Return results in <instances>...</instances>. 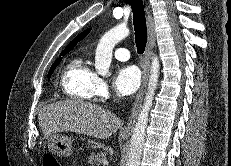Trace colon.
Listing matches in <instances>:
<instances>
[{"label": "colon", "instance_id": "1", "mask_svg": "<svg viewBox=\"0 0 231 166\" xmlns=\"http://www.w3.org/2000/svg\"><path fill=\"white\" fill-rule=\"evenodd\" d=\"M43 166H61V164L55 156L48 154L43 158Z\"/></svg>", "mask_w": 231, "mask_h": 166}]
</instances>
